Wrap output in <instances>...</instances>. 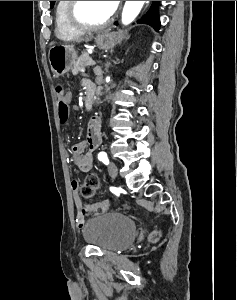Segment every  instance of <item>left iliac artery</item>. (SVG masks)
I'll return each instance as SVG.
<instances>
[{
    "label": "left iliac artery",
    "instance_id": "obj_1",
    "mask_svg": "<svg viewBox=\"0 0 237 300\" xmlns=\"http://www.w3.org/2000/svg\"><path fill=\"white\" fill-rule=\"evenodd\" d=\"M98 159L102 161L104 164L108 165L109 164V159L107 157V154L105 152H100L98 154Z\"/></svg>",
    "mask_w": 237,
    "mask_h": 300
}]
</instances>
